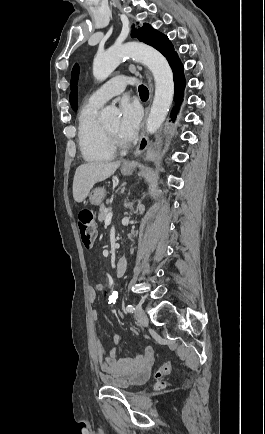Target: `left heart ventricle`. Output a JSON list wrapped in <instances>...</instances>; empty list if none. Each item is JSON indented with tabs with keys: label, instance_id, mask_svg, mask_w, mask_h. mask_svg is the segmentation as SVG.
<instances>
[{
	"label": "left heart ventricle",
	"instance_id": "b2bd125f",
	"mask_svg": "<svg viewBox=\"0 0 265 434\" xmlns=\"http://www.w3.org/2000/svg\"><path fill=\"white\" fill-rule=\"evenodd\" d=\"M110 130L118 134V120L112 121L106 125Z\"/></svg>",
	"mask_w": 265,
	"mask_h": 434
}]
</instances>
